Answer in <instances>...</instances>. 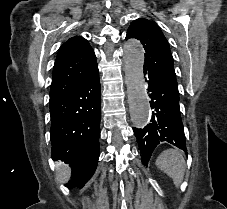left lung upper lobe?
<instances>
[{
    "label": "left lung upper lobe",
    "instance_id": "5c2ea615",
    "mask_svg": "<svg viewBox=\"0 0 227 209\" xmlns=\"http://www.w3.org/2000/svg\"><path fill=\"white\" fill-rule=\"evenodd\" d=\"M130 38L140 40L145 49L144 74L156 76L164 86L179 93L169 43L159 26L144 18L136 19L127 31L126 40Z\"/></svg>",
    "mask_w": 227,
    "mask_h": 209
}]
</instances>
